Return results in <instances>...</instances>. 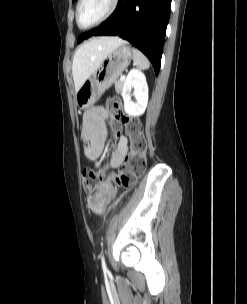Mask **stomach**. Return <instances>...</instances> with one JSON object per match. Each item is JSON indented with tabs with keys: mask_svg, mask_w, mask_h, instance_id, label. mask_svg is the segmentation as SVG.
Returning <instances> with one entry per match:
<instances>
[{
	"mask_svg": "<svg viewBox=\"0 0 247 304\" xmlns=\"http://www.w3.org/2000/svg\"><path fill=\"white\" fill-rule=\"evenodd\" d=\"M131 58V48L125 44L111 52L92 74V77L76 91L75 102L77 106L82 109L93 106L102 93L116 82L117 78L128 67Z\"/></svg>",
	"mask_w": 247,
	"mask_h": 304,
	"instance_id": "0dacf381",
	"label": "stomach"
}]
</instances>
